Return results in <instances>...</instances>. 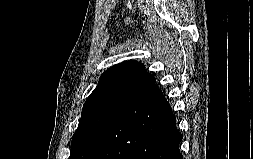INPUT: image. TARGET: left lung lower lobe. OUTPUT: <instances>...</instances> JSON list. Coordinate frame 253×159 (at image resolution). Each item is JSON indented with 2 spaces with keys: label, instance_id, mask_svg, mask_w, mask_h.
<instances>
[{
  "label": "left lung lower lobe",
  "instance_id": "0a47b994",
  "mask_svg": "<svg viewBox=\"0 0 253 159\" xmlns=\"http://www.w3.org/2000/svg\"><path fill=\"white\" fill-rule=\"evenodd\" d=\"M171 106L154 83L109 125L90 159H183Z\"/></svg>",
  "mask_w": 253,
  "mask_h": 159
}]
</instances>
